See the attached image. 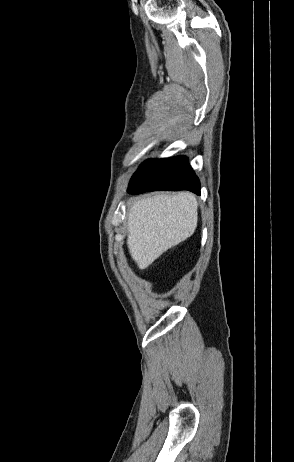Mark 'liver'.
I'll list each match as a JSON object with an SVG mask.
<instances>
[{
  "label": "liver",
  "mask_w": 294,
  "mask_h": 462,
  "mask_svg": "<svg viewBox=\"0 0 294 462\" xmlns=\"http://www.w3.org/2000/svg\"><path fill=\"white\" fill-rule=\"evenodd\" d=\"M192 193L160 194L136 201L128 213L127 245L139 269L190 237L197 227Z\"/></svg>",
  "instance_id": "liver-1"
}]
</instances>
